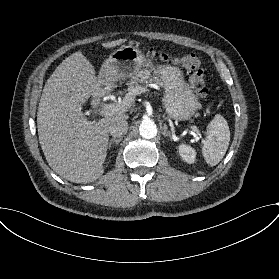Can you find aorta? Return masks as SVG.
Returning <instances> with one entry per match:
<instances>
[{
	"label": "aorta",
	"mask_w": 279,
	"mask_h": 279,
	"mask_svg": "<svg viewBox=\"0 0 279 279\" xmlns=\"http://www.w3.org/2000/svg\"><path fill=\"white\" fill-rule=\"evenodd\" d=\"M139 133L145 139L154 138L157 135V126L150 119L143 120L139 126Z\"/></svg>",
	"instance_id": "1"
}]
</instances>
